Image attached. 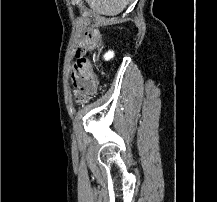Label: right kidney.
<instances>
[{
    "label": "right kidney",
    "mask_w": 217,
    "mask_h": 202,
    "mask_svg": "<svg viewBox=\"0 0 217 202\" xmlns=\"http://www.w3.org/2000/svg\"><path fill=\"white\" fill-rule=\"evenodd\" d=\"M105 60H110V58H114V52H107L104 56Z\"/></svg>",
    "instance_id": "obj_1"
}]
</instances>
